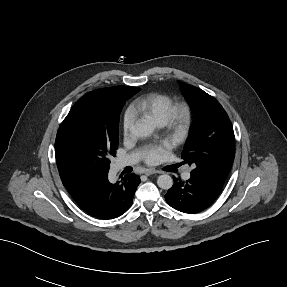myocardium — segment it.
Here are the masks:
<instances>
[{
  "label": "myocardium",
  "instance_id": "obj_1",
  "mask_svg": "<svg viewBox=\"0 0 287 287\" xmlns=\"http://www.w3.org/2000/svg\"><path fill=\"white\" fill-rule=\"evenodd\" d=\"M193 119L192 105L188 102H179L172 106L164 126L173 141L181 142L188 135Z\"/></svg>",
  "mask_w": 287,
  "mask_h": 287
}]
</instances>
